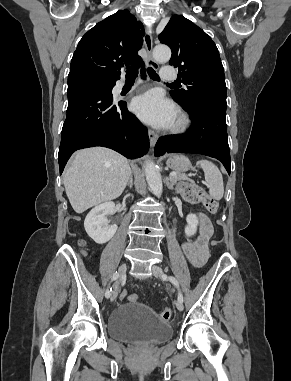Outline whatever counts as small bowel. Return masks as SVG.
Masks as SVG:
<instances>
[{
    "label": "small bowel",
    "mask_w": 291,
    "mask_h": 381,
    "mask_svg": "<svg viewBox=\"0 0 291 381\" xmlns=\"http://www.w3.org/2000/svg\"><path fill=\"white\" fill-rule=\"evenodd\" d=\"M199 234L196 239L184 242L183 251L193 266H201L207 255L208 241L212 236L213 229L210 220L203 213H197Z\"/></svg>",
    "instance_id": "small-bowel-1"
}]
</instances>
